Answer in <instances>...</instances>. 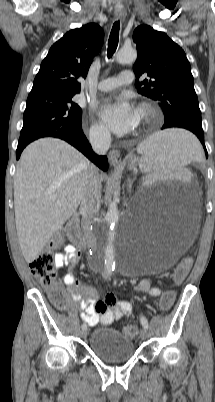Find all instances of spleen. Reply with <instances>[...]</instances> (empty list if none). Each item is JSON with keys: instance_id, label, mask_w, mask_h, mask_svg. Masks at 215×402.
Masks as SVG:
<instances>
[{"instance_id": "1", "label": "spleen", "mask_w": 215, "mask_h": 402, "mask_svg": "<svg viewBox=\"0 0 215 402\" xmlns=\"http://www.w3.org/2000/svg\"><path fill=\"white\" fill-rule=\"evenodd\" d=\"M138 152L144 153L139 164L144 172L148 169L178 170L192 159H202L198 139L191 128H168L141 143Z\"/></svg>"}]
</instances>
